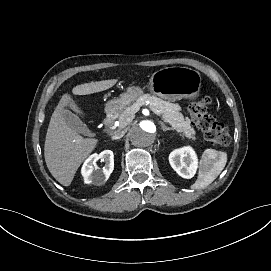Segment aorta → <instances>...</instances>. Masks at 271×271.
I'll return each instance as SVG.
<instances>
[{
	"instance_id": "obj_1",
	"label": "aorta",
	"mask_w": 271,
	"mask_h": 271,
	"mask_svg": "<svg viewBox=\"0 0 271 271\" xmlns=\"http://www.w3.org/2000/svg\"><path fill=\"white\" fill-rule=\"evenodd\" d=\"M157 125L151 120L136 123L129 131L131 144L137 148H150L157 138Z\"/></svg>"
}]
</instances>
